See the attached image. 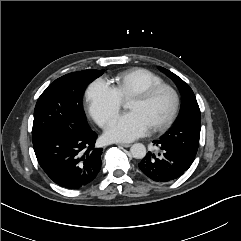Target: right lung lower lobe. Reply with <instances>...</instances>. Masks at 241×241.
<instances>
[{
    "instance_id": "1",
    "label": "right lung lower lobe",
    "mask_w": 241,
    "mask_h": 241,
    "mask_svg": "<svg viewBox=\"0 0 241 241\" xmlns=\"http://www.w3.org/2000/svg\"><path fill=\"white\" fill-rule=\"evenodd\" d=\"M97 135L90 127L61 129L33 143L37 160L56 184L79 189L91 183L101 168L102 149L95 147Z\"/></svg>"
}]
</instances>
